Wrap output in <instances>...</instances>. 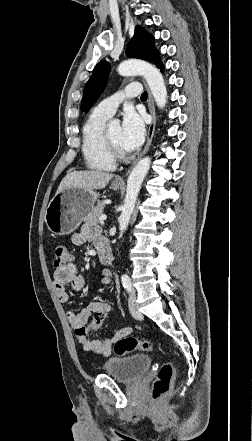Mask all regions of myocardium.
Listing matches in <instances>:
<instances>
[{
  "label": "myocardium",
  "mask_w": 252,
  "mask_h": 441,
  "mask_svg": "<svg viewBox=\"0 0 252 441\" xmlns=\"http://www.w3.org/2000/svg\"><path fill=\"white\" fill-rule=\"evenodd\" d=\"M103 144H104V147H105L107 154L113 160L116 161L122 157V155H123L122 151L117 146H115L112 143V141L110 140L107 128H105L104 132H103Z\"/></svg>",
  "instance_id": "myocardium-1"
}]
</instances>
